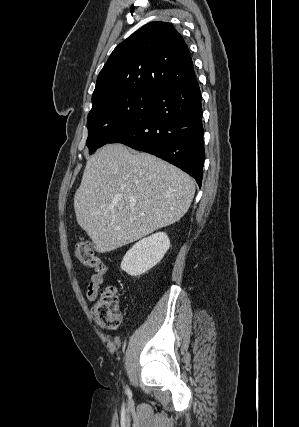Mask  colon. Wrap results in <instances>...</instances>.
<instances>
[{
    "instance_id": "colon-1",
    "label": "colon",
    "mask_w": 299,
    "mask_h": 427,
    "mask_svg": "<svg viewBox=\"0 0 299 427\" xmlns=\"http://www.w3.org/2000/svg\"><path fill=\"white\" fill-rule=\"evenodd\" d=\"M76 260L85 268L103 273L106 270L105 264L97 257L89 243L80 240L74 247ZM93 318L96 324L104 330H114L121 322L120 302L117 291L114 287H107L101 294L99 300L92 309Z\"/></svg>"
}]
</instances>
